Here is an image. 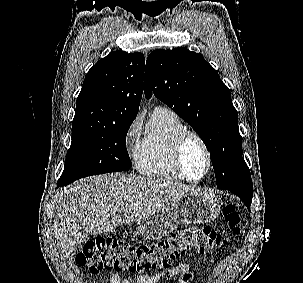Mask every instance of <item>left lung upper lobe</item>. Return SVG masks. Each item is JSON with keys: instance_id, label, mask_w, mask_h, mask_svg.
<instances>
[{"instance_id": "5c2ea615", "label": "left lung upper lobe", "mask_w": 303, "mask_h": 283, "mask_svg": "<svg viewBox=\"0 0 303 283\" xmlns=\"http://www.w3.org/2000/svg\"><path fill=\"white\" fill-rule=\"evenodd\" d=\"M146 68V97L153 92L200 136L210 152L217 188L253 191L241 153L238 113L217 71L184 47L153 51Z\"/></svg>"}]
</instances>
